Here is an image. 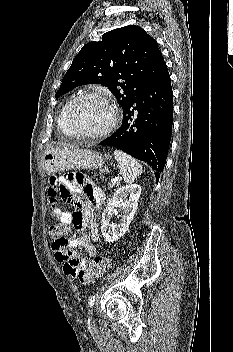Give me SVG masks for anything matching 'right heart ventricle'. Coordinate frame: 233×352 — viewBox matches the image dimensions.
<instances>
[{
  "label": "right heart ventricle",
  "mask_w": 233,
  "mask_h": 352,
  "mask_svg": "<svg viewBox=\"0 0 233 352\" xmlns=\"http://www.w3.org/2000/svg\"><path fill=\"white\" fill-rule=\"evenodd\" d=\"M74 98L75 96H71L66 100V102L64 103V105L62 106L59 112L58 119H57L58 129L66 136H71L66 124V115H67L69 105L71 104Z\"/></svg>",
  "instance_id": "obj_1"
}]
</instances>
